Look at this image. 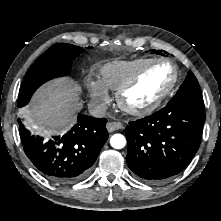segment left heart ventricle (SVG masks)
I'll return each instance as SVG.
<instances>
[{
    "label": "left heart ventricle",
    "mask_w": 221,
    "mask_h": 221,
    "mask_svg": "<svg viewBox=\"0 0 221 221\" xmlns=\"http://www.w3.org/2000/svg\"><path fill=\"white\" fill-rule=\"evenodd\" d=\"M172 76L170 66L165 64L152 66L127 93V101L137 107L149 104L169 85Z\"/></svg>",
    "instance_id": "1"
}]
</instances>
